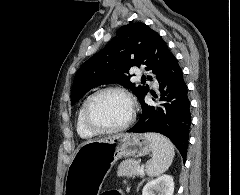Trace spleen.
Here are the masks:
<instances>
[{"label":"spleen","instance_id":"obj_1","mask_svg":"<svg viewBox=\"0 0 240 195\" xmlns=\"http://www.w3.org/2000/svg\"><path fill=\"white\" fill-rule=\"evenodd\" d=\"M144 135L150 141L152 151V157L145 165L146 173L150 177H156V175H161L170 167L175 155V145L162 133L148 131Z\"/></svg>","mask_w":240,"mask_h":195}]
</instances>
